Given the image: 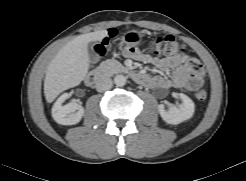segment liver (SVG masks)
<instances>
[{
    "label": "liver",
    "mask_w": 246,
    "mask_h": 181,
    "mask_svg": "<svg viewBox=\"0 0 246 181\" xmlns=\"http://www.w3.org/2000/svg\"><path fill=\"white\" fill-rule=\"evenodd\" d=\"M108 35L106 30L82 34L63 46L47 67L44 95L51 103L63 91L78 86L89 69L88 43L100 41Z\"/></svg>",
    "instance_id": "obj_1"
}]
</instances>
